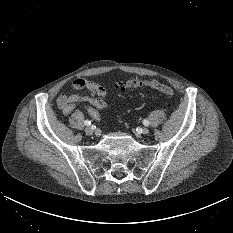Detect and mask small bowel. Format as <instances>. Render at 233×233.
Returning <instances> with one entry per match:
<instances>
[{
    "label": "small bowel",
    "mask_w": 233,
    "mask_h": 233,
    "mask_svg": "<svg viewBox=\"0 0 233 233\" xmlns=\"http://www.w3.org/2000/svg\"><path fill=\"white\" fill-rule=\"evenodd\" d=\"M75 91L85 93L61 94L57 98V106L63 115H69L78 105L85 104L88 114L95 120L103 117L108 109L106 101L108 92L101 84L86 78H77L72 82Z\"/></svg>",
    "instance_id": "obj_1"
}]
</instances>
